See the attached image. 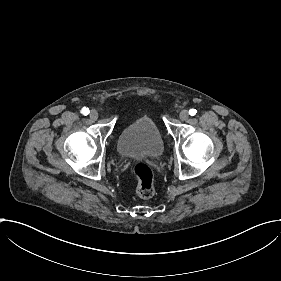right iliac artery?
Returning <instances> with one entry per match:
<instances>
[{"mask_svg":"<svg viewBox=\"0 0 281 281\" xmlns=\"http://www.w3.org/2000/svg\"><path fill=\"white\" fill-rule=\"evenodd\" d=\"M81 113L85 116H87L89 114V109L86 108V107H83L82 110H81Z\"/></svg>","mask_w":281,"mask_h":281,"instance_id":"obj_1","label":"right iliac artery"}]
</instances>
